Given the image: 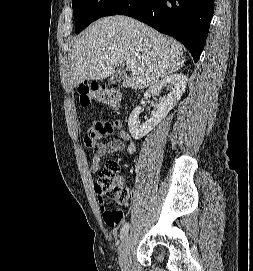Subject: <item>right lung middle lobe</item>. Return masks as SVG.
Segmentation results:
<instances>
[{"instance_id":"dd1d6c3e","label":"right lung middle lobe","mask_w":253,"mask_h":271,"mask_svg":"<svg viewBox=\"0 0 253 271\" xmlns=\"http://www.w3.org/2000/svg\"><path fill=\"white\" fill-rule=\"evenodd\" d=\"M126 0H72L75 32L78 34L91 22L114 15Z\"/></svg>"}]
</instances>
